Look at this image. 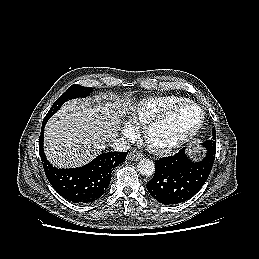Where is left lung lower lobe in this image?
<instances>
[{
	"label": "left lung lower lobe",
	"instance_id": "0a47b994",
	"mask_svg": "<svg viewBox=\"0 0 259 259\" xmlns=\"http://www.w3.org/2000/svg\"><path fill=\"white\" fill-rule=\"evenodd\" d=\"M204 147L207 153L199 162L192 161L185 149L155 161V174L147 183L150 195L165 205L192 198L206 182L215 160L216 146Z\"/></svg>",
	"mask_w": 259,
	"mask_h": 259
}]
</instances>
